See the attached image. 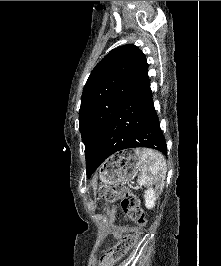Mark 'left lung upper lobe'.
I'll list each match as a JSON object with an SVG mask.
<instances>
[{
	"label": "left lung upper lobe",
	"instance_id": "obj_1",
	"mask_svg": "<svg viewBox=\"0 0 221 266\" xmlns=\"http://www.w3.org/2000/svg\"><path fill=\"white\" fill-rule=\"evenodd\" d=\"M147 78L145 55L132 44L113 49L92 70L83 89L79 111L86 166L91 164L124 100Z\"/></svg>",
	"mask_w": 221,
	"mask_h": 266
}]
</instances>
